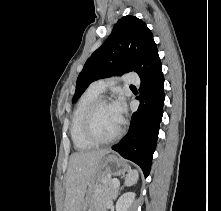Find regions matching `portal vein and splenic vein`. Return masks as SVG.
I'll return each instance as SVG.
<instances>
[{
    "instance_id": "portal-vein-and-splenic-vein-1",
    "label": "portal vein and splenic vein",
    "mask_w": 221,
    "mask_h": 211,
    "mask_svg": "<svg viewBox=\"0 0 221 211\" xmlns=\"http://www.w3.org/2000/svg\"><path fill=\"white\" fill-rule=\"evenodd\" d=\"M112 183L115 187H118L120 185V182L118 179H112Z\"/></svg>"
}]
</instances>
